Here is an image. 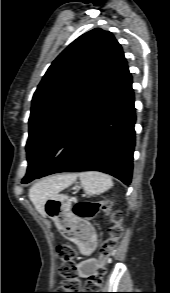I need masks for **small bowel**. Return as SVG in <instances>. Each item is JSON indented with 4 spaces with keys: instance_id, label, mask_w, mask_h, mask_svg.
I'll list each match as a JSON object with an SVG mask.
<instances>
[{
    "instance_id": "1",
    "label": "small bowel",
    "mask_w": 170,
    "mask_h": 293,
    "mask_svg": "<svg viewBox=\"0 0 170 293\" xmlns=\"http://www.w3.org/2000/svg\"><path fill=\"white\" fill-rule=\"evenodd\" d=\"M70 239L74 243L82 247V243L80 242L78 238L71 237ZM82 248L85 249L84 247ZM98 265H99V261L95 258H88L86 260H83L77 264L78 275L83 278L90 277Z\"/></svg>"
}]
</instances>
